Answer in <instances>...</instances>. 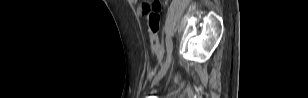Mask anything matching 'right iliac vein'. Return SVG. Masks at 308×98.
<instances>
[{"label": "right iliac vein", "instance_id": "right-iliac-vein-1", "mask_svg": "<svg viewBox=\"0 0 308 98\" xmlns=\"http://www.w3.org/2000/svg\"><path fill=\"white\" fill-rule=\"evenodd\" d=\"M171 58H172V52H168L164 64L162 65L161 69L158 71V73L155 76V79L153 82L154 84L158 83L166 74L170 66Z\"/></svg>", "mask_w": 308, "mask_h": 98}]
</instances>
